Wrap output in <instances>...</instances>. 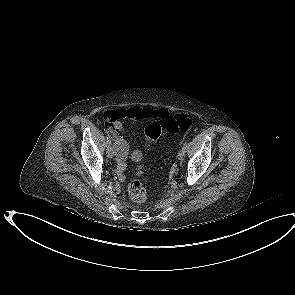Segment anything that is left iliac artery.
Listing matches in <instances>:
<instances>
[{
    "label": "left iliac artery",
    "mask_w": 295,
    "mask_h": 295,
    "mask_svg": "<svg viewBox=\"0 0 295 295\" xmlns=\"http://www.w3.org/2000/svg\"><path fill=\"white\" fill-rule=\"evenodd\" d=\"M187 145H188V142L186 141L184 144H183V148H187Z\"/></svg>",
    "instance_id": "1"
}]
</instances>
